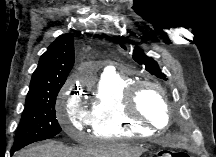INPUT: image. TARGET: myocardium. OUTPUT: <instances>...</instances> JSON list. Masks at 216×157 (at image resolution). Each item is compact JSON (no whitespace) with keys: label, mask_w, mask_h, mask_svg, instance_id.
I'll return each mask as SVG.
<instances>
[{"label":"myocardium","mask_w":216,"mask_h":157,"mask_svg":"<svg viewBox=\"0 0 216 157\" xmlns=\"http://www.w3.org/2000/svg\"><path fill=\"white\" fill-rule=\"evenodd\" d=\"M144 87L153 88L156 91H158L160 95V98L162 100L167 115L166 123L163 126H159L156 123H154L150 118L143 115L138 109L137 99L140 94V91ZM123 106L129 118L133 119L138 123L150 126L154 129H162L166 127L171 120V110L168 103L166 91L161 85L153 81H149V80L134 81L125 91L123 97Z\"/></svg>","instance_id":"f54148a6"}]
</instances>
